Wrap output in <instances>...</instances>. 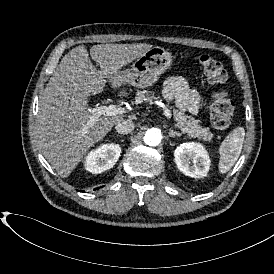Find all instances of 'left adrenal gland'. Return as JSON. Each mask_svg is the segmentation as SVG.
<instances>
[{
    "label": "left adrenal gland",
    "mask_w": 274,
    "mask_h": 274,
    "mask_svg": "<svg viewBox=\"0 0 274 274\" xmlns=\"http://www.w3.org/2000/svg\"><path fill=\"white\" fill-rule=\"evenodd\" d=\"M168 137L170 138L181 137V134L173 131L172 129H169Z\"/></svg>",
    "instance_id": "1"
}]
</instances>
